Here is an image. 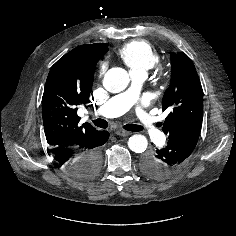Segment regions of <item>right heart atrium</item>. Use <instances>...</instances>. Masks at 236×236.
Listing matches in <instances>:
<instances>
[{"mask_svg": "<svg viewBox=\"0 0 236 236\" xmlns=\"http://www.w3.org/2000/svg\"><path fill=\"white\" fill-rule=\"evenodd\" d=\"M104 68H105V64L103 63V64L101 65V71H103Z\"/></svg>", "mask_w": 236, "mask_h": 236, "instance_id": "obj_1", "label": "right heart atrium"}]
</instances>
